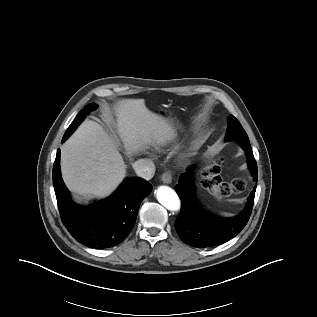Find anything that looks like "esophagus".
<instances>
[{"mask_svg": "<svg viewBox=\"0 0 317 317\" xmlns=\"http://www.w3.org/2000/svg\"><path fill=\"white\" fill-rule=\"evenodd\" d=\"M161 180L164 184H170L172 182V175L169 172L162 174Z\"/></svg>", "mask_w": 317, "mask_h": 317, "instance_id": "esophagus-1", "label": "esophagus"}]
</instances>
